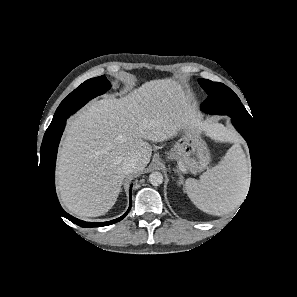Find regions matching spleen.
<instances>
[{"label":"spleen","instance_id":"obj_1","mask_svg":"<svg viewBox=\"0 0 297 297\" xmlns=\"http://www.w3.org/2000/svg\"><path fill=\"white\" fill-rule=\"evenodd\" d=\"M249 184V165L239 144H234L218 165L199 180L187 179L186 192L202 211L222 215L235 210L243 201Z\"/></svg>","mask_w":297,"mask_h":297}]
</instances>
